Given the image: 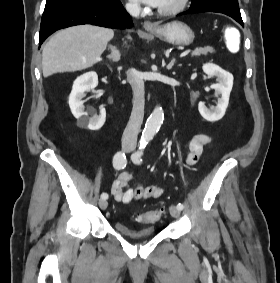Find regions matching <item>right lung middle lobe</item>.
Here are the masks:
<instances>
[{"instance_id": "obj_1", "label": "right lung middle lobe", "mask_w": 280, "mask_h": 283, "mask_svg": "<svg viewBox=\"0 0 280 283\" xmlns=\"http://www.w3.org/2000/svg\"><path fill=\"white\" fill-rule=\"evenodd\" d=\"M109 0H47L45 10L66 4H105Z\"/></svg>"}]
</instances>
